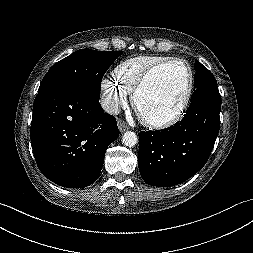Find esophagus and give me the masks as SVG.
Returning a JSON list of instances; mask_svg holds the SVG:
<instances>
[{
    "label": "esophagus",
    "mask_w": 253,
    "mask_h": 253,
    "mask_svg": "<svg viewBox=\"0 0 253 253\" xmlns=\"http://www.w3.org/2000/svg\"><path fill=\"white\" fill-rule=\"evenodd\" d=\"M118 128H119L120 132H125L126 130L129 129L127 124L122 120H118Z\"/></svg>",
    "instance_id": "1"
}]
</instances>
